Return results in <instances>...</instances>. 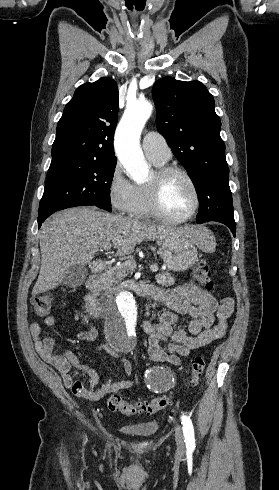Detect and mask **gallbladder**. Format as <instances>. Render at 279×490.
<instances>
[{
  "mask_svg": "<svg viewBox=\"0 0 279 490\" xmlns=\"http://www.w3.org/2000/svg\"><path fill=\"white\" fill-rule=\"evenodd\" d=\"M88 270L86 266H69L61 282L66 288H80L86 282Z\"/></svg>",
  "mask_w": 279,
  "mask_h": 490,
  "instance_id": "gallbladder-1",
  "label": "gallbladder"
}]
</instances>
